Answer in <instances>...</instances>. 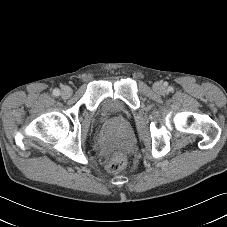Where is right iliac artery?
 Listing matches in <instances>:
<instances>
[{
  "instance_id": "1",
  "label": "right iliac artery",
  "mask_w": 227,
  "mask_h": 227,
  "mask_svg": "<svg viewBox=\"0 0 227 227\" xmlns=\"http://www.w3.org/2000/svg\"><path fill=\"white\" fill-rule=\"evenodd\" d=\"M53 95L56 96V97L59 96L60 95V90L59 89H54L53 90Z\"/></svg>"
}]
</instances>
